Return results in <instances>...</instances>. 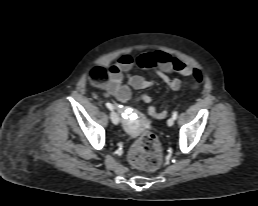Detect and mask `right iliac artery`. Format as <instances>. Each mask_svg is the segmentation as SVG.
<instances>
[{
	"mask_svg": "<svg viewBox=\"0 0 258 206\" xmlns=\"http://www.w3.org/2000/svg\"><path fill=\"white\" fill-rule=\"evenodd\" d=\"M105 105H106V107H107L108 109H110V110L113 109V106H112L111 103L107 102Z\"/></svg>",
	"mask_w": 258,
	"mask_h": 206,
	"instance_id": "obj_1",
	"label": "right iliac artery"
}]
</instances>
